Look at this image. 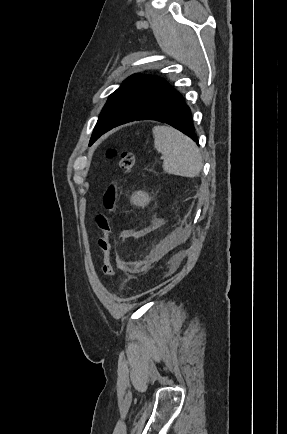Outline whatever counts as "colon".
<instances>
[{
  "label": "colon",
  "instance_id": "5ec220e1",
  "mask_svg": "<svg viewBox=\"0 0 287 434\" xmlns=\"http://www.w3.org/2000/svg\"><path fill=\"white\" fill-rule=\"evenodd\" d=\"M108 156L119 158V167L124 175L133 171L135 166V156L129 150H123L117 153L115 150H109ZM120 179L116 178L111 181L103 196L104 212L98 213L95 217V222L101 236L98 240V245L103 253L102 274L110 278L113 275L112 252H111V237L112 226L111 217L117 211V204L120 197Z\"/></svg>",
  "mask_w": 287,
  "mask_h": 434
}]
</instances>
